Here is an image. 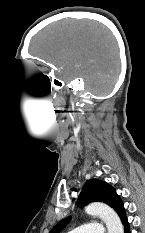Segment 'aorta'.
<instances>
[{
    "label": "aorta",
    "instance_id": "aorta-1",
    "mask_svg": "<svg viewBox=\"0 0 145 233\" xmlns=\"http://www.w3.org/2000/svg\"><path fill=\"white\" fill-rule=\"evenodd\" d=\"M85 212L91 216H99L106 224L108 233H124L120 218L109 206L94 202L85 207Z\"/></svg>",
    "mask_w": 145,
    "mask_h": 233
}]
</instances>
